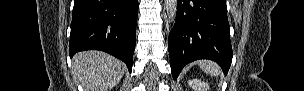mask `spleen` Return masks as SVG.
Wrapping results in <instances>:
<instances>
[{"mask_svg": "<svg viewBox=\"0 0 304 91\" xmlns=\"http://www.w3.org/2000/svg\"><path fill=\"white\" fill-rule=\"evenodd\" d=\"M199 66L200 68L210 74V75H217L219 74V69H218V66L213 63V62H210V61H201L199 62Z\"/></svg>", "mask_w": 304, "mask_h": 91, "instance_id": "obj_1", "label": "spleen"}]
</instances>
